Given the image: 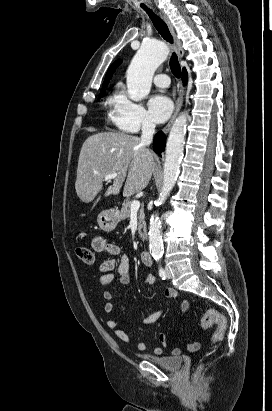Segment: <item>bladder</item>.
Listing matches in <instances>:
<instances>
[{
  "instance_id": "1",
  "label": "bladder",
  "mask_w": 272,
  "mask_h": 411,
  "mask_svg": "<svg viewBox=\"0 0 272 411\" xmlns=\"http://www.w3.org/2000/svg\"><path fill=\"white\" fill-rule=\"evenodd\" d=\"M142 357L145 360L168 370H178L183 364V358L181 356L146 354L142 355Z\"/></svg>"
}]
</instances>
